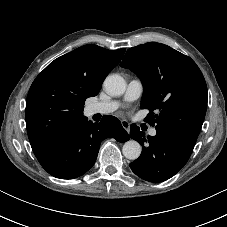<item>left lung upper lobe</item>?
Segmentation results:
<instances>
[{
    "label": "left lung upper lobe",
    "instance_id": "1",
    "mask_svg": "<svg viewBox=\"0 0 227 227\" xmlns=\"http://www.w3.org/2000/svg\"><path fill=\"white\" fill-rule=\"evenodd\" d=\"M120 65L143 83L141 108L150 110L146 120L195 144L207 109L206 82L195 62L167 45L150 42L128 49Z\"/></svg>",
    "mask_w": 227,
    "mask_h": 227
}]
</instances>
